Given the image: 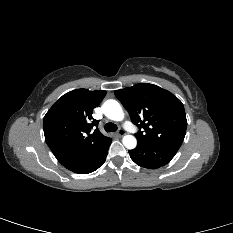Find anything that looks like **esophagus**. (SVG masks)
<instances>
[{
    "instance_id": "obj_1",
    "label": "esophagus",
    "mask_w": 233,
    "mask_h": 233,
    "mask_svg": "<svg viewBox=\"0 0 233 233\" xmlns=\"http://www.w3.org/2000/svg\"><path fill=\"white\" fill-rule=\"evenodd\" d=\"M117 135L120 136V137H121V136H124V135H125V131H124L123 129L120 128V129L117 131Z\"/></svg>"
}]
</instances>
